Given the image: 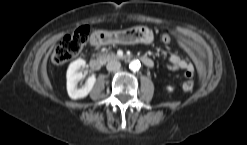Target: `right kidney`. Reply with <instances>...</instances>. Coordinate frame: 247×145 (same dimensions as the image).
I'll return each instance as SVG.
<instances>
[{
    "mask_svg": "<svg viewBox=\"0 0 247 145\" xmlns=\"http://www.w3.org/2000/svg\"><path fill=\"white\" fill-rule=\"evenodd\" d=\"M86 66V62L83 59H78L72 62L67 70V92L72 99H81L86 97L92 90L96 78L91 76L87 79L85 86L77 88V84L82 80L83 74L79 71Z\"/></svg>",
    "mask_w": 247,
    "mask_h": 145,
    "instance_id": "1",
    "label": "right kidney"
}]
</instances>
